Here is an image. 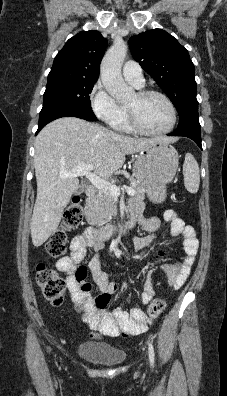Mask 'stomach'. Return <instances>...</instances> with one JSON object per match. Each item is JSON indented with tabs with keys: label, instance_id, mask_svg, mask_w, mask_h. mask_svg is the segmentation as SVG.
I'll return each instance as SVG.
<instances>
[{
	"label": "stomach",
	"instance_id": "stomach-1",
	"mask_svg": "<svg viewBox=\"0 0 227 396\" xmlns=\"http://www.w3.org/2000/svg\"><path fill=\"white\" fill-rule=\"evenodd\" d=\"M179 157L174 147L158 142L140 150L133 165V176L143 187L149 199L162 203L166 187L178 169Z\"/></svg>",
	"mask_w": 227,
	"mask_h": 396
}]
</instances>
